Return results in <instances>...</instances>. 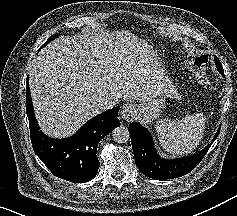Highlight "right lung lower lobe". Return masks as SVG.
Returning <instances> with one entry per match:
<instances>
[{"mask_svg": "<svg viewBox=\"0 0 237 216\" xmlns=\"http://www.w3.org/2000/svg\"><path fill=\"white\" fill-rule=\"evenodd\" d=\"M26 89V113L32 146L37 156L56 177L75 183L92 180L100 167L96 158L97 145L120 125L117 118L120 107L95 116L69 138L53 139L43 134L37 124L28 79Z\"/></svg>", "mask_w": 237, "mask_h": 216, "instance_id": "1", "label": "right lung lower lobe"}]
</instances>
